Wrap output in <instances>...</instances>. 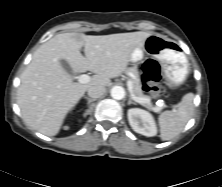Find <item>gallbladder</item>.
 Wrapping results in <instances>:
<instances>
[{"label":"gallbladder","instance_id":"bac80fb5","mask_svg":"<svg viewBox=\"0 0 222 187\" xmlns=\"http://www.w3.org/2000/svg\"><path fill=\"white\" fill-rule=\"evenodd\" d=\"M60 63L68 74H70V75L74 74L72 71V68L70 67V65L68 64V62L66 60H60Z\"/></svg>","mask_w":222,"mask_h":187}]
</instances>
